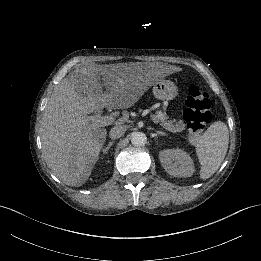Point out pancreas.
I'll return each mask as SVG.
<instances>
[{"label": "pancreas", "instance_id": "cf45deb5", "mask_svg": "<svg viewBox=\"0 0 261 261\" xmlns=\"http://www.w3.org/2000/svg\"><path fill=\"white\" fill-rule=\"evenodd\" d=\"M154 116L158 119V123H160V126H162L171 133L177 134L185 130V124L182 120H168L169 118L163 112H158Z\"/></svg>", "mask_w": 261, "mask_h": 261}]
</instances>
